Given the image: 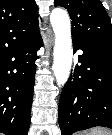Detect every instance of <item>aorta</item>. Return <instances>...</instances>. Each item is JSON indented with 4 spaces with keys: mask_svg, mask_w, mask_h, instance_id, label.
<instances>
[{
    "mask_svg": "<svg viewBox=\"0 0 112 135\" xmlns=\"http://www.w3.org/2000/svg\"><path fill=\"white\" fill-rule=\"evenodd\" d=\"M50 21L55 34L52 69L57 84L64 85L70 76L73 56L70 18L64 9L55 8Z\"/></svg>",
    "mask_w": 112,
    "mask_h": 135,
    "instance_id": "762f6f07",
    "label": "aorta"
}]
</instances>
